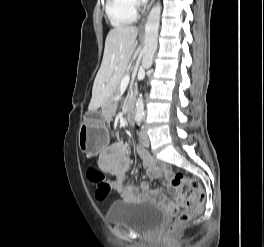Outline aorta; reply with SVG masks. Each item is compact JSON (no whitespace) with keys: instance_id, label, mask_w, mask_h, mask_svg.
I'll use <instances>...</instances> for the list:
<instances>
[{"instance_id":"aorta-1","label":"aorta","mask_w":264,"mask_h":247,"mask_svg":"<svg viewBox=\"0 0 264 247\" xmlns=\"http://www.w3.org/2000/svg\"><path fill=\"white\" fill-rule=\"evenodd\" d=\"M161 4L158 2L151 9L145 25V45L143 48L142 67L149 69L157 49L158 29L160 25ZM144 116V102L140 95L136 102L135 120L141 121Z\"/></svg>"}]
</instances>
